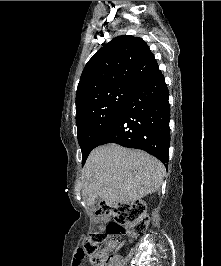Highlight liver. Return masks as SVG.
Wrapping results in <instances>:
<instances>
[{"instance_id":"6515ba94","label":"liver","mask_w":221,"mask_h":266,"mask_svg":"<svg viewBox=\"0 0 221 266\" xmlns=\"http://www.w3.org/2000/svg\"><path fill=\"white\" fill-rule=\"evenodd\" d=\"M164 165L141 150L116 144L94 149L83 170L82 194L107 203H129L156 192L165 176Z\"/></svg>"}]
</instances>
